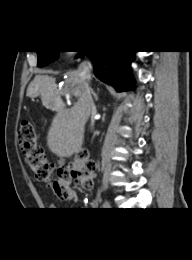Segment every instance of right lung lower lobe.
I'll return each instance as SVG.
<instances>
[{
	"label": "right lung lower lobe",
	"mask_w": 192,
	"mask_h": 260,
	"mask_svg": "<svg viewBox=\"0 0 192 260\" xmlns=\"http://www.w3.org/2000/svg\"><path fill=\"white\" fill-rule=\"evenodd\" d=\"M93 61L94 74L101 81L112 85L116 90H130L134 87L130 64L135 59V51H82Z\"/></svg>",
	"instance_id": "obj_1"
}]
</instances>
